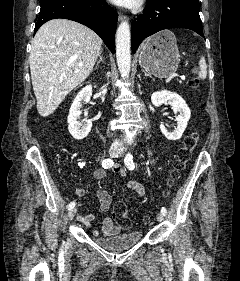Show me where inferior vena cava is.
Returning a JSON list of instances; mask_svg holds the SVG:
<instances>
[{"mask_svg": "<svg viewBox=\"0 0 240 281\" xmlns=\"http://www.w3.org/2000/svg\"><path fill=\"white\" fill-rule=\"evenodd\" d=\"M115 143H119V140H115Z\"/></svg>", "mask_w": 240, "mask_h": 281, "instance_id": "inferior-vena-cava-1", "label": "inferior vena cava"}]
</instances>
